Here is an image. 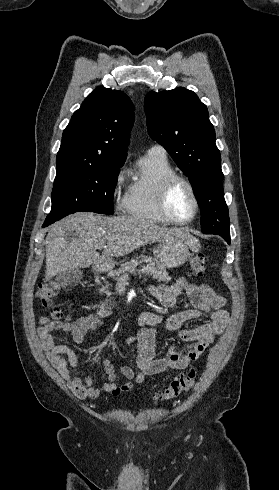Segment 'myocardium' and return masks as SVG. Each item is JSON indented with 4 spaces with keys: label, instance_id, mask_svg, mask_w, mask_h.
<instances>
[{
    "label": "myocardium",
    "instance_id": "f54148a6",
    "mask_svg": "<svg viewBox=\"0 0 279 490\" xmlns=\"http://www.w3.org/2000/svg\"><path fill=\"white\" fill-rule=\"evenodd\" d=\"M185 184L192 195L193 198V203H194V209L192 215L187 219V220H179L177 219L172 212L171 209V198L178 187L179 184ZM199 198L197 194L196 187L194 183L186 176L178 173H173L168 175L162 185L161 189V194H160V208L163 213V215L170 220L172 223L177 224V225H186L191 223L197 216L198 211H199Z\"/></svg>",
    "mask_w": 279,
    "mask_h": 490
}]
</instances>
